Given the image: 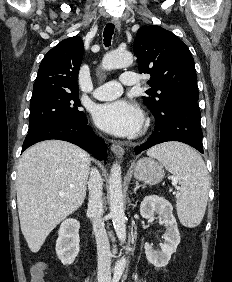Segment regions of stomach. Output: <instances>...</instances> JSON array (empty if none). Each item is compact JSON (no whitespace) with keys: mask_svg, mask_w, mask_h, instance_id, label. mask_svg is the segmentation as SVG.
I'll use <instances>...</instances> for the list:
<instances>
[{"mask_svg":"<svg viewBox=\"0 0 232 282\" xmlns=\"http://www.w3.org/2000/svg\"><path fill=\"white\" fill-rule=\"evenodd\" d=\"M133 174L137 180L150 185L159 183L165 175L163 166L151 158L138 160L133 166Z\"/></svg>","mask_w":232,"mask_h":282,"instance_id":"obj_1","label":"stomach"}]
</instances>
